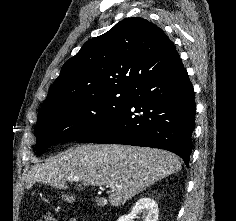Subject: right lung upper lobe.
Masks as SVG:
<instances>
[{
    "mask_svg": "<svg viewBox=\"0 0 236 221\" xmlns=\"http://www.w3.org/2000/svg\"><path fill=\"white\" fill-rule=\"evenodd\" d=\"M177 57L161 28L141 17L125 19L87 41L64 63L41 108L102 92L132 90Z\"/></svg>",
    "mask_w": 236,
    "mask_h": 221,
    "instance_id": "1",
    "label": "right lung upper lobe"
}]
</instances>
